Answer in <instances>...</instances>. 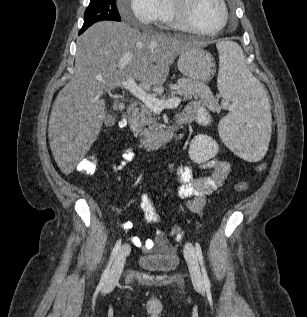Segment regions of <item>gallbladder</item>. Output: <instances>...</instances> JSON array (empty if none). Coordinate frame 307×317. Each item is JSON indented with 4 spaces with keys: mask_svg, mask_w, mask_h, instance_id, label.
<instances>
[{
    "mask_svg": "<svg viewBox=\"0 0 307 317\" xmlns=\"http://www.w3.org/2000/svg\"><path fill=\"white\" fill-rule=\"evenodd\" d=\"M110 118H111V116H107V117H106V119H105V120H106V125H109V124H110Z\"/></svg>",
    "mask_w": 307,
    "mask_h": 317,
    "instance_id": "gallbladder-1",
    "label": "gallbladder"
}]
</instances>
